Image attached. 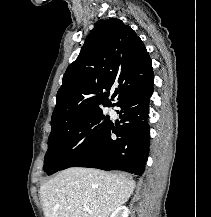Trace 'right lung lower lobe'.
Listing matches in <instances>:
<instances>
[{
  "label": "right lung lower lobe",
  "instance_id": "1",
  "mask_svg": "<svg viewBox=\"0 0 211 217\" xmlns=\"http://www.w3.org/2000/svg\"><path fill=\"white\" fill-rule=\"evenodd\" d=\"M154 75L151 72L134 82L115 106L121 126L111 124L102 141L73 167L102 170H122L141 176L149 152L148 101L153 92ZM115 134L116 139L111 135Z\"/></svg>",
  "mask_w": 211,
  "mask_h": 217
}]
</instances>
